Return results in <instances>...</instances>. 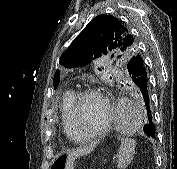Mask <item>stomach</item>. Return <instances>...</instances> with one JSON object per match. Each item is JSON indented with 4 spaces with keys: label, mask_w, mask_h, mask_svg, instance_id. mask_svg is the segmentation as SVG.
<instances>
[{
    "label": "stomach",
    "mask_w": 177,
    "mask_h": 169,
    "mask_svg": "<svg viewBox=\"0 0 177 169\" xmlns=\"http://www.w3.org/2000/svg\"><path fill=\"white\" fill-rule=\"evenodd\" d=\"M50 169H68L67 158L65 157V155L62 154L57 155L53 159Z\"/></svg>",
    "instance_id": "obj_1"
}]
</instances>
